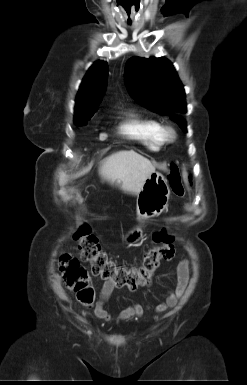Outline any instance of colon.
<instances>
[{
    "instance_id": "colon-1",
    "label": "colon",
    "mask_w": 247,
    "mask_h": 385,
    "mask_svg": "<svg viewBox=\"0 0 247 385\" xmlns=\"http://www.w3.org/2000/svg\"><path fill=\"white\" fill-rule=\"evenodd\" d=\"M168 180L172 192L183 196L184 182L180 170L175 165L169 169ZM75 240L81 250V260L90 264L93 275L109 281L116 287H127L130 290L150 285L160 263L172 260L175 255L174 238L165 230L155 233L154 241L157 245L145 253L139 266H126L108 257L97 238L86 227L75 234ZM60 271L66 288L75 294L82 305L92 306L95 291L80 260L69 253H62Z\"/></svg>"
}]
</instances>
